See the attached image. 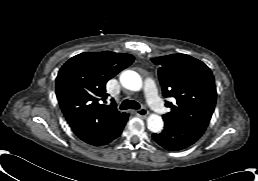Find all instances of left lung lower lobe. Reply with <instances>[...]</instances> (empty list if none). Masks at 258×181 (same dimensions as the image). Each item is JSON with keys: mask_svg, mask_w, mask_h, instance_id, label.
<instances>
[{"mask_svg": "<svg viewBox=\"0 0 258 181\" xmlns=\"http://www.w3.org/2000/svg\"><path fill=\"white\" fill-rule=\"evenodd\" d=\"M203 133L204 131L186 124L165 121L164 130L153 134L152 138L163 148L178 151L195 143Z\"/></svg>", "mask_w": 258, "mask_h": 181, "instance_id": "1", "label": "left lung lower lobe"}]
</instances>
